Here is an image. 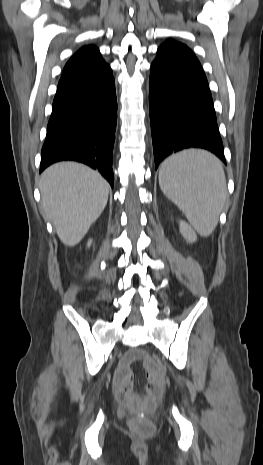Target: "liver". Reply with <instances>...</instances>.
I'll return each mask as SVG.
<instances>
[{
	"label": "liver",
	"mask_w": 263,
	"mask_h": 465,
	"mask_svg": "<svg viewBox=\"0 0 263 465\" xmlns=\"http://www.w3.org/2000/svg\"><path fill=\"white\" fill-rule=\"evenodd\" d=\"M108 182L96 171L75 162H60L41 175L40 191L45 218L66 246L77 245L103 212Z\"/></svg>",
	"instance_id": "6515ba94"
}]
</instances>
